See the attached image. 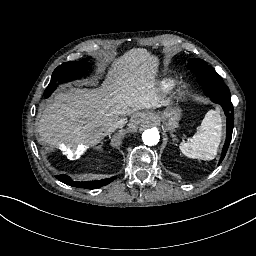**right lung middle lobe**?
<instances>
[{"label": "right lung middle lobe", "mask_w": 256, "mask_h": 256, "mask_svg": "<svg viewBox=\"0 0 256 256\" xmlns=\"http://www.w3.org/2000/svg\"><path fill=\"white\" fill-rule=\"evenodd\" d=\"M88 59L89 58L83 59L81 61L65 62L58 66L52 74L51 82L45 90L44 96L46 98L49 97L51 93L56 89V86L59 82L65 83L80 78L86 68L85 62Z\"/></svg>", "instance_id": "dd1d6c3e"}]
</instances>
